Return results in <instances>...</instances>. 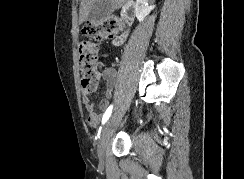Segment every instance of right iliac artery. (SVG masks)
<instances>
[{
	"label": "right iliac artery",
	"mask_w": 244,
	"mask_h": 179,
	"mask_svg": "<svg viewBox=\"0 0 244 179\" xmlns=\"http://www.w3.org/2000/svg\"><path fill=\"white\" fill-rule=\"evenodd\" d=\"M112 108H113V105H110L108 107V109L106 110V112L104 113L103 118H102V124H104L109 119V117L112 113Z\"/></svg>",
	"instance_id": "1"
}]
</instances>
